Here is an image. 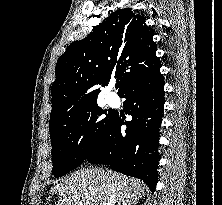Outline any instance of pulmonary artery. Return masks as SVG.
Listing matches in <instances>:
<instances>
[{
  "label": "pulmonary artery",
  "instance_id": "1",
  "mask_svg": "<svg viewBox=\"0 0 222 205\" xmlns=\"http://www.w3.org/2000/svg\"><path fill=\"white\" fill-rule=\"evenodd\" d=\"M107 102H108L110 105L114 104V98H113L112 96L108 95V96H107Z\"/></svg>",
  "mask_w": 222,
  "mask_h": 205
}]
</instances>
